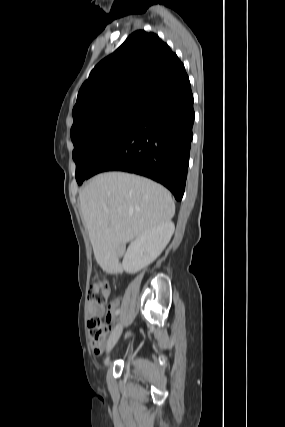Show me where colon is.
<instances>
[{
  "label": "colon",
  "instance_id": "colon-1",
  "mask_svg": "<svg viewBox=\"0 0 285 427\" xmlns=\"http://www.w3.org/2000/svg\"><path fill=\"white\" fill-rule=\"evenodd\" d=\"M112 291L111 283L106 279L96 278L89 286L88 297L99 304H104ZM109 333V327L102 323L99 318L89 321V334L92 345L97 352L104 346Z\"/></svg>",
  "mask_w": 285,
  "mask_h": 427
}]
</instances>
